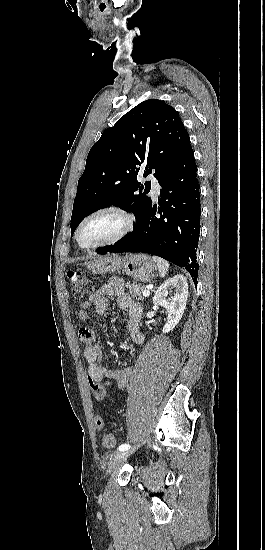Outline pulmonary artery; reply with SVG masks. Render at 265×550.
I'll return each mask as SVG.
<instances>
[{"instance_id": "pulmonary-artery-1", "label": "pulmonary artery", "mask_w": 265, "mask_h": 550, "mask_svg": "<svg viewBox=\"0 0 265 550\" xmlns=\"http://www.w3.org/2000/svg\"><path fill=\"white\" fill-rule=\"evenodd\" d=\"M149 180L151 181V195L156 198L160 191L159 182L153 175L149 176Z\"/></svg>"}]
</instances>
